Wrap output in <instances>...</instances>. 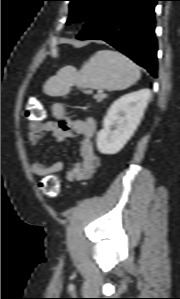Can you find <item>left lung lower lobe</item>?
I'll return each instance as SVG.
<instances>
[{
    "label": "left lung lower lobe",
    "instance_id": "0a47b994",
    "mask_svg": "<svg viewBox=\"0 0 180 299\" xmlns=\"http://www.w3.org/2000/svg\"><path fill=\"white\" fill-rule=\"evenodd\" d=\"M156 1L100 0L77 39L103 40L156 76Z\"/></svg>",
    "mask_w": 180,
    "mask_h": 299
}]
</instances>
